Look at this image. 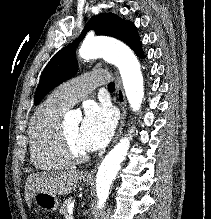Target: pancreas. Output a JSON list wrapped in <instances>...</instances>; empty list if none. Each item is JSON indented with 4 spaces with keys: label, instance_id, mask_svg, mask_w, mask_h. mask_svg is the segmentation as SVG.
I'll return each instance as SVG.
<instances>
[{
    "label": "pancreas",
    "instance_id": "cf45deb5",
    "mask_svg": "<svg viewBox=\"0 0 211 219\" xmlns=\"http://www.w3.org/2000/svg\"><path fill=\"white\" fill-rule=\"evenodd\" d=\"M72 203V198H69L67 200L64 201V203L61 205L60 207V214L63 215V216H67L68 215V208H69V205Z\"/></svg>",
    "mask_w": 211,
    "mask_h": 219
}]
</instances>
